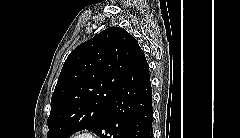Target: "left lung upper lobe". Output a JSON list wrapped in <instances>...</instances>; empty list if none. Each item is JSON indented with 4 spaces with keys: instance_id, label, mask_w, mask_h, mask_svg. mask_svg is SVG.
I'll use <instances>...</instances> for the list:
<instances>
[{
    "instance_id": "1",
    "label": "left lung upper lobe",
    "mask_w": 240,
    "mask_h": 138,
    "mask_svg": "<svg viewBox=\"0 0 240 138\" xmlns=\"http://www.w3.org/2000/svg\"><path fill=\"white\" fill-rule=\"evenodd\" d=\"M136 39L110 27L67 57L51 98L47 138L95 131L139 51Z\"/></svg>"
}]
</instances>
